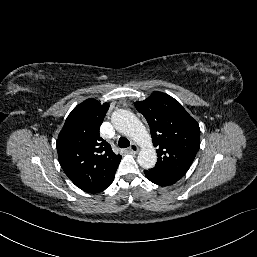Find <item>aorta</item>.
<instances>
[{
	"mask_svg": "<svg viewBox=\"0 0 257 257\" xmlns=\"http://www.w3.org/2000/svg\"><path fill=\"white\" fill-rule=\"evenodd\" d=\"M111 121L120 133L129 136L140 145L141 150L137 157L139 165L144 169L153 168L157 161V154L151 136L142 122L125 109L114 111Z\"/></svg>",
	"mask_w": 257,
	"mask_h": 257,
	"instance_id": "1",
	"label": "aorta"
}]
</instances>
